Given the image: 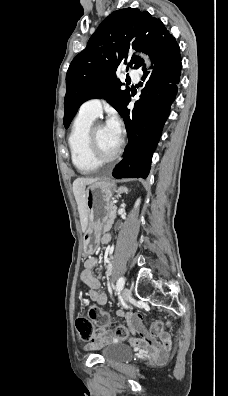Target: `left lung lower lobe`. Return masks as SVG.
<instances>
[{
    "label": "left lung lower lobe",
    "instance_id": "0a47b994",
    "mask_svg": "<svg viewBox=\"0 0 228 396\" xmlns=\"http://www.w3.org/2000/svg\"><path fill=\"white\" fill-rule=\"evenodd\" d=\"M147 54L154 64L132 111L127 105L121 113L124 119L129 142L122 161L114 168L113 177L146 178L151 167L152 154L160 139L163 125L175 99L181 73L180 48L175 38L167 31L156 37L149 45ZM142 70L148 75L145 65ZM145 77L142 80L145 81ZM142 86V83H141Z\"/></svg>",
    "mask_w": 228,
    "mask_h": 396
}]
</instances>
